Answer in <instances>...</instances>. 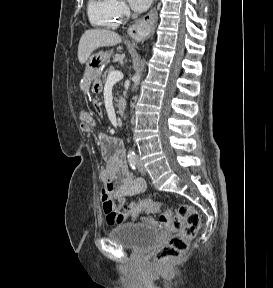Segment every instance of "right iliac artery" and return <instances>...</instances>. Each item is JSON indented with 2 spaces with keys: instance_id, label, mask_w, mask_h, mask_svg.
Instances as JSON below:
<instances>
[{
  "instance_id": "1",
  "label": "right iliac artery",
  "mask_w": 273,
  "mask_h": 288,
  "mask_svg": "<svg viewBox=\"0 0 273 288\" xmlns=\"http://www.w3.org/2000/svg\"><path fill=\"white\" fill-rule=\"evenodd\" d=\"M128 161L132 169H135L137 166V158L134 153L128 155Z\"/></svg>"
}]
</instances>
